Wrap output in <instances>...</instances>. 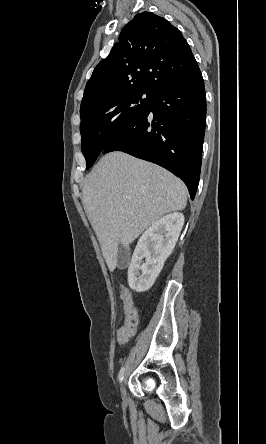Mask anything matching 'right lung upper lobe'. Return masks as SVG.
<instances>
[{
  "label": "right lung upper lobe",
  "mask_w": 266,
  "mask_h": 444,
  "mask_svg": "<svg viewBox=\"0 0 266 444\" xmlns=\"http://www.w3.org/2000/svg\"><path fill=\"white\" fill-rule=\"evenodd\" d=\"M198 64L181 32L151 12L137 14L120 33L109 56L95 67L80 110L122 90L158 89L191 75Z\"/></svg>",
  "instance_id": "right-lung-upper-lobe-1"
}]
</instances>
